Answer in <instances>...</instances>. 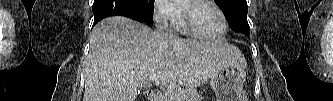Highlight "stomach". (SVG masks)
<instances>
[{"mask_svg": "<svg viewBox=\"0 0 333 101\" xmlns=\"http://www.w3.org/2000/svg\"><path fill=\"white\" fill-rule=\"evenodd\" d=\"M238 54L236 64L222 68L210 78V85L216 94L217 101H246L243 88L246 62L240 51Z\"/></svg>", "mask_w": 333, "mask_h": 101, "instance_id": "0dacf381", "label": "stomach"}]
</instances>
